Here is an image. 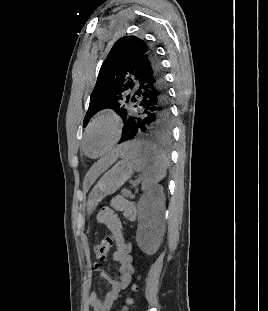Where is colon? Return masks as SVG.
Returning a JSON list of instances; mask_svg holds the SVG:
<instances>
[{
	"label": "colon",
	"mask_w": 268,
	"mask_h": 311,
	"mask_svg": "<svg viewBox=\"0 0 268 311\" xmlns=\"http://www.w3.org/2000/svg\"><path fill=\"white\" fill-rule=\"evenodd\" d=\"M112 245V239L111 237H105L103 239H101L95 246L94 249V255H95V259H96V266L98 262H102L106 259L109 250L111 248ZM138 290V285L137 283H133L131 286V293H134ZM132 303V298L131 295L128 296L125 299L124 304L122 305L120 311H128L129 310V306Z\"/></svg>",
	"instance_id": "1"
}]
</instances>
